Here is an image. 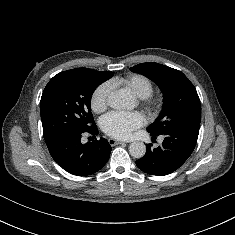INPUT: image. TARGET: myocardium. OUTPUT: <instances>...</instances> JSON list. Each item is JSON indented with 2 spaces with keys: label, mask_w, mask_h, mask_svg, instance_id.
Listing matches in <instances>:
<instances>
[{
  "label": "myocardium",
  "mask_w": 235,
  "mask_h": 235,
  "mask_svg": "<svg viewBox=\"0 0 235 235\" xmlns=\"http://www.w3.org/2000/svg\"><path fill=\"white\" fill-rule=\"evenodd\" d=\"M140 103L146 110L150 112L157 110L161 105L160 100L156 97H153L152 95L140 98Z\"/></svg>",
  "instance_id": "f54148a6"
}]
</instances>
